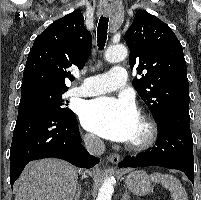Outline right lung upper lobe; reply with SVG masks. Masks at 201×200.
<instances>
[{
  "instance_id": "obj_1",
  "label": "right lung upper lobe",
  "mask_w": 201,
  "mask_h": 200,
  "mask_svg": "<svg viewBox=\"0 0 201 200\" xmlns=\"http://www.w3.org/2000/svg\"><path fill=\"white\" fill-rule=\"evenodd\" d=\"M92 46V35L76 10L56 20L34 41L23 72L21 94L37 91H67L73 81L68 71L85 64Z\"/></svg>"
}]
</instances>
